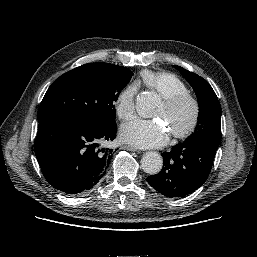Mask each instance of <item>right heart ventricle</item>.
I'll return each instance as SVG.
<instances>
[{"label": "right heart ventricle", "mask_w": 257, "mask_h": 257, "mask_svg": "<svg viewBox=\"0 0 257 257\" xmlns=\"http://www.w3.org/2000/svg\"><path fill=\"white\" fill-rule=\"evenodd\" d=\"M140 79L147 88L155 91L162 98L188 91L186 84L170 72L143 71Z\"/></svg>", "instance_id": "obj_1"}]
</instances>
